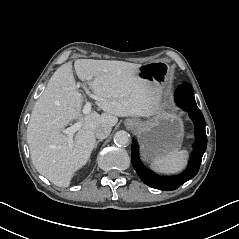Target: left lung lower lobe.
Here are the masks:
<instances>
[{
    "instance_id": "1",
    "label": "left lung lower lobe",
    "mask_w": 239,
    "mask_h": 239,
    "mask_svg": "<svg viewBox=\"0 0 239 239\" xmlns=\"http://www.w3.org/2000/svg\"><path fill=\"white\" fill-rule=\"evenodd\" d=\"M175 100L179 106H181L184 110L188 112L190 118L193 120L195 125V138H196L195 158L190 170L181 178L176 180L164 181L160 179H154L148 176L139 168L135 159L134 144H132L131 162L134 169L136 170L139 177L141 178V180L150 187L160 189V190H165V191H171V190L177 189L183 183L193 178L198 173L202 156L207 146L205 120L201 111L197 107V104L194 98L193 88L191 87L189 83L184 82L182 85H180L177 88L175 93Z\"/></svg>"
}]
</instances>
